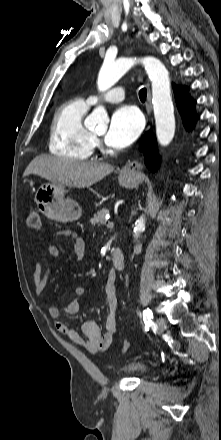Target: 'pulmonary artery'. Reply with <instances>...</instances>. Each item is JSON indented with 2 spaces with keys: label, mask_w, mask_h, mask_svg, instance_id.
Masks as SVG:
<instances>
[{
  "label": "pulmonary artery",
  "mask_w": 221,
  "mask_h": 440,
  "mask_svg": "<svg viewBox=\"0 0 221 440\" xmlns=\"http://www.w3.org/2000/svg\"><path fill=\"white\" fill-rule=\"evenodd\" d=\"M125 92L126 90L124 87H116L102 96L94 95L88 97L87 102L90 105H95L100 101L113 102V103L121 102L125 98Z\"/></svg>",
  "instance_id": "e3ab8cb5"
}]
</instances>
